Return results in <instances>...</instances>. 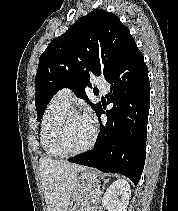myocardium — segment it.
<instances>
[{
    "instance_id": "myocardium-1",
    "label": "myocardium",
    "mask_w": 178,
    "mask_h": 211,
    "mask_svg": "<svg viewBox=\"0 0 178 211\" xmlns=\"http://www.w3.org/2000/svg\"><path fill=\"white\" fill-rule=\"evenodd\" d=\"M75 115H80V116H84V117L87 118V116L83 112L76 110V109H69L63 115L59 130H58V133H57L56 145L58 147V150L61 152V154L64 157H72V156H76V155L87 152L88 150H90L95 145V142H96V139H97V136H98V127L95 124V122L90 119V122L92 124V136H91V139L88 142V144L86 146H84L83 148L77 150V151L66 150L65 147H64V144H63L66 128H67V125H68L70 118L75 116Z\"/></svg>"
}]
</instances>
